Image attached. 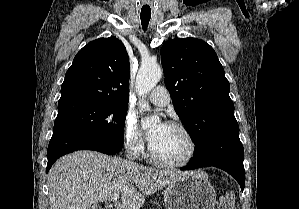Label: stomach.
I'll use <instances>...</instances> for the list:
<instances>
[{
	"label": "stomach",
	"mask_w": 299,
	"mask_h": 209,
	"mask_svg": "<svg viewBox=\"0 0 299 209\" xmlns=\"http://www.w3.org/2000/svg\"><path fill=\"white\" fill-rule=\"evenodd\" d=\"M167 209H215L216 192L202 171H193L168 185L164 191Z\"/></svg>",
	"instance_id": "stomach-1"
}]
</instances>
